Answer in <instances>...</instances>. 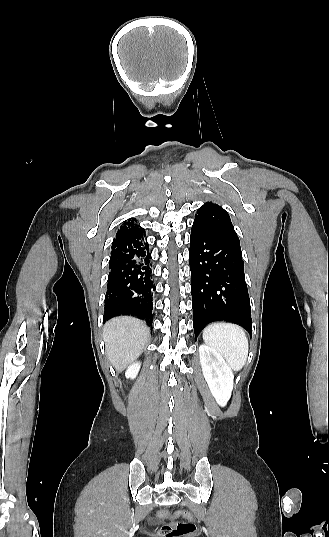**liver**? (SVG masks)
<instances>
[{"label": "liver", "instance_id": "6515ba94", "mask_svg": "<svg viewBox=\"0 0 329 537\" xmlns=\"http://www.w3.org/2000/svg\"><path fill=\"white\" fill-rule=\"evenodd\" d=\"M103 336L108 359L121 372L144 351L150 331L144 322L121 316L105 324Z\"/></svg>", "mask_w": 329, "mask_h": 537}]
</instances>
